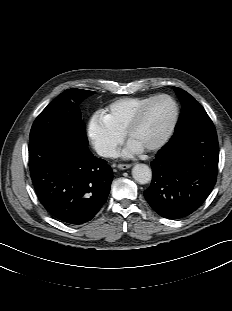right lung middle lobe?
I'll return each instance as SVG.
<instances>
[{"label": "right lung middle lobe", "instance_id": "right-lung-middle-lobe-1", "mask_svg": "<svg viewBox=\"0 0 232 311\" xmlns=\"http://www.w3.org/2000/svg\"><path fill=\"white\" fill-rule=\"evenodd\" d=\"M94 91L67 89L53 100L36 118L30 139L52 132H67L88 145L85 124L78 104Z\"/></svg>", "mask_w": 232, "mask_h": 311}]
</instances>
